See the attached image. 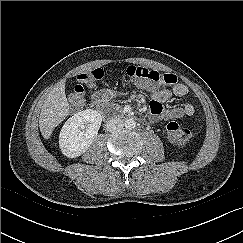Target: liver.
Returning <instances> with one entry per match:
<instances>
[{
	"instance_id": "1",
	"label": "liver",
	"mask_w": 243,
	"mask_h": 243,
	"mask_svg": "<svg viewBox=\"0 0 243 243\" xmlns=\"http://www.w3.org/2000/svg\"><path fill=\"white\" fill-rule=\"evenodd\" d=\"M70 106L65 94V84L58 83L46 96L39 117V128L44 139L69 115Z\"/></svg>"
}]
</instances>
